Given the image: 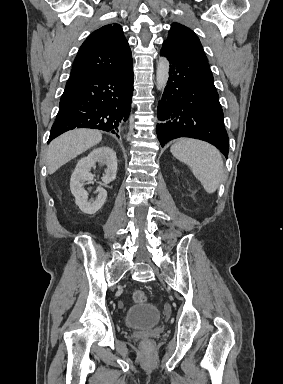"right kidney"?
Returning <instances> with one entry per match:
<instances>
[{
    "label": "right kidney",
    "mask_w": 283,
    "mask_h": 384,
    "mask_svg": "<svg viewBox=\"0 0 283 384\" xmlns=\"http://www.w3.org/2000/svg\"><path fill=\"white\" fill-rule=\"evenodd\" d=\"M100 166H107L102 178L104 184H110L116 178L117 174V158L114 150L108 148V146H101V148H95L91 154H88L87 158L79 160L70 180V190L75 198L77 206H79L83 214H90L94 216L100 208H102L106 198L107 192L104 188H97V198L95 200H88V194L84 190L83 186L85 182H91L93 180V174H91V168H95L96 164Z\"/></svg>",
    "instance_id": "obj_1"
}]
</instances>
